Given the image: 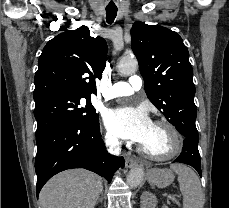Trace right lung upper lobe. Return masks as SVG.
<instances>
[{"label": "right lung upper lobe", "mask_w": 229, "mask_h": 208, "mask_svg": "<svg viewBox=\"0 0 229 208\" xmlns=\"http://www.w3.org/2000/svg\"><path fill=\"white\" fill-rule=\"evenodd\" d=\"M106 58V41L91 37L85 26L57 35L39 57L34 100L57 94L89 98L97 94L95 78H101Z\"/></svg>", "instance_id": "cb5924a9"}]
</instances>
